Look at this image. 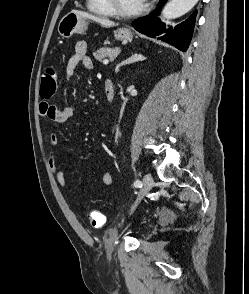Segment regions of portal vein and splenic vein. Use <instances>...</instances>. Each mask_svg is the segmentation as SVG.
Returning <instances> with one entry per match:
<instances>
[{"mask_svg": "<svg viewBox=\"0 0 249 294\" xmlns=\"http://www.w3.org/2000/svg\"><path fill=\"white\" fill-rule=\"evenodd\" d=\"M108 63H109V60L108 59L103 60V64L104 65H107Z\"/></svg>", "mask_w": 249, "mask_h": 294, "instance_id": "obj_1", "label": "portal vein and splenic vein"}]
</instances>
